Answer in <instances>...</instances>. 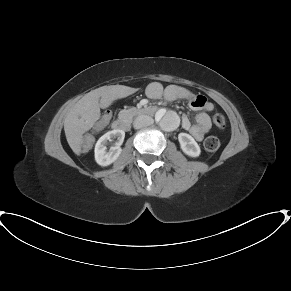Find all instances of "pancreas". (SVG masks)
<instances>
[{
    "label": "pancreas",
    "instance_id": "cf45deb5",
    "mask_svg": "<svg viewBox=\"0 0 291 291\" xmlns=\"http://www.w3.org/2000/svg\"><path fill=\"white\" fill-rule=\"evenodd\" d=\"M139 113V110L136 108H130L128 110H122L119 113V118H128L132 119L133 116L137 115Z\"/></svg>",
    "mask_w": 291,
    "mask_h": 291
}]
</instances>
